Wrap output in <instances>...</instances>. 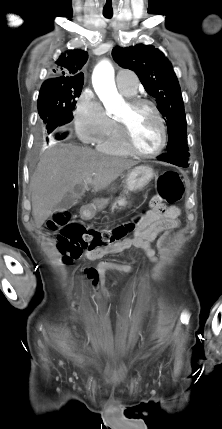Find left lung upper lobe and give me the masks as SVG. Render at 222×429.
<instances>
[{
  "label": "left lung upper lobe",
  "mask_w": 222,
  "mask_h": 429,
  "mask_svg": "<svg viewBox=\"0 0 222 429\" xmlns=\"http://www.w3.org/2000/svg\"><path fill=\"white\" fill-rule=\"evenodd\" d=\"M114 60L123 68L134 71L145 90L157 102L168 127L167 152L189 154L187 123L181 90L171 63L151 45L138 44L113 48Z\"/></svg>",
  "instance_id": "5c2ea615"
}]
</instances>
